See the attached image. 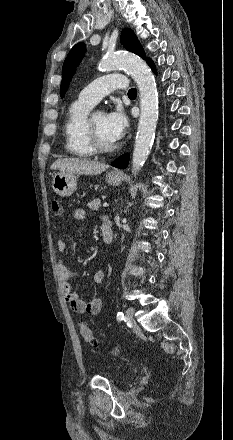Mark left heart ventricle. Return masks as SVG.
<instances>
[{
	"mask_svg": "<svg viewBox=\"0 0 233 440\" xmlns=\"http://www.w3.org/2000/svg\"><path fill=\"white\" fill-rule=\"evenodd\" d=\"M93 124L99 138L103 143L110 144L116 141L107 128L106 115L104 113H95L93 116Z\"/></svg>",
	"mask_w": 233,
	"mask_h": 440,
	"instance_id": "left-heart-ventricle-1",
	"label": "left heart ventricle"
}]
</instances>
